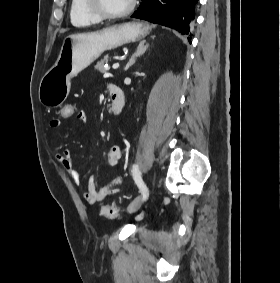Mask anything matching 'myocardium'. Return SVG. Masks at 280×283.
Listing matches in <instances>:
<instances>
[{"mask_svg":"<svg viewBox=\"0 0 280 283\" xmlns=\"http://www.w3.org/2000/svg\"><path fill=\"white\" fill-rule=\"evenodd\" d=\"M87 9L97 16L100 20H117L128 16L136 5V0H131L129 6L119 13H108L102 6L99 0H85Z\"/></svg>","mask_w":280,"mask_h":283,"instance_id":"obj_1","label":"myocardium"}]
</instances>
